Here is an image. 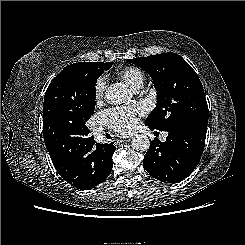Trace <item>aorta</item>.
I'll list each match as a JSON object with an SVG mask.
<instances>
[{
  "label": "aorta",
  "instance_id": "aorta-1",
  "mask_svg": "<svg viewBox=\"0 0 245 245\" xmlns=\"http://www.w3.org/2000/svg\"><path fill=\"white\" fill-rule=\"evenodd\" d=\"M131 98V94L125 85L114 83L105 92L107 103L112 105L122 104ZM150 146V141L146 135L138 134L131 141V147L136 151H146Z\"/></svg>",
  "mask_w": 245,
  "mask_h": 245
}]
</instances>
